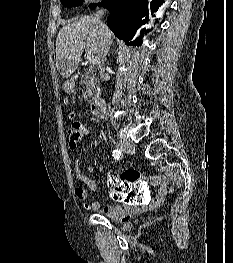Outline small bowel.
I'll use <instances>...</instances> for the list:
<instances>
[{"label": "small bowel", "instance_id": "c3829d8e", "mask_svg": "<svg viewBox=\"0 0 233 263\" xmlns=\"http://www.w3.org/2000/svg\"><path fill=\"white\" fill-rule=\"evenodd\" d=\"M86 171L89 174H93L95 169L92 166H88ZM75 173L77 179L83 184L84 187L90 189L93 192L97 191L96 182L86 175V173L82 170V165L79 160L75 162ZM118 176L120 175L118 174ZM145 181L150 185H157V191L155 196L150 195V202H143L141 205H130L129 202H126V205L123 207L112 205L103 206L100 202L88 204L86 203L88 194L84 187H76L75 195L77 199L83 203L85 209L102 213L115 221H126L132 215L143 212L146 209H155L159 207L161 204H163L167 195L172 191V188L169 187L170 181L166 176L148 177L145 178Z\"/></svg>", "mask_w": 233, "mask_h": 263}]
</instances>
